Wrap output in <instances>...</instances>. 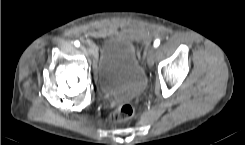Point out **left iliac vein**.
<instances>
[{
	"label": "left iliac vein",
	"mask_w": 245,
	"mask_h": 145,
	"mask_svg": "<svg viewBox=\"0 0 245 145\" xmlns=\"http://www.w3.org/2000/svg\"><path fill=\"white\" fill-rule=\"evenodd\" d=\"M154 47H149L146 50V60H147V64L149 66H152L154 63V58H155V51H154Z\"/></svg>",
	"instance_id": "obj_1"
}]
</instances>
